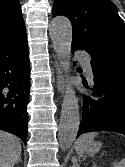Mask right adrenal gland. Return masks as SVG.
Instances as JSON below:
<instances>
[{"label":"right adrenal gland","mask_w":125,"mask_h":167,"mask_svg":"<svg viewBox=\"0 0 125 167\" xmlns=\"http://www.w3.org/2000/svg\"><path fill=\"white\" fill-rule=\"evenodd\" d=\"M21 163L22 162V159H21V157H19V159H18V161H17V163Z\"/></svg>","instance_id":"obj_1"}]
</instances>
